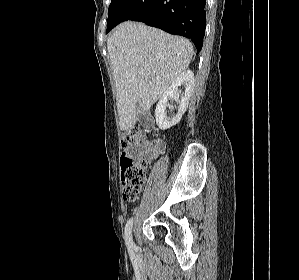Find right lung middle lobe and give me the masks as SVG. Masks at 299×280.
Returning a JSON list of instances; mask_svg holds the SVG:
<instances>
[{"mask_svg": "<svg viewBox=\"0 0 299 280\" xmlns=\"http://www.w3.org/2000/svg\"><path fill=\"white\" fill-rule=\"evenodd\" d=\"M128 1L129 0H111V4L109 5L108 10V26L106 33H108L113 28V24L117 15Z\"/></svg>", "mask_w": 299, "mask_h": 280, "instance_id": "dd1d6c3e", "label": "right lung middle lobe"}]
</instances>
